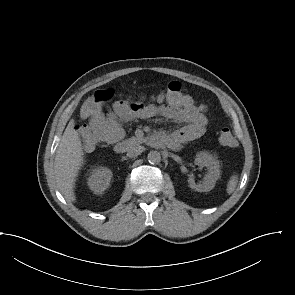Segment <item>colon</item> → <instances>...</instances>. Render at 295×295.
Masks as SVG:
<instances>
[{
    "mask_svg": "<svg viewBox=\"0 0 295 295\" xmlns=\"http://www.w3.org/2000/svg\"><path fill=\"white\" fill-rule=\"evenodd\" d=\"M165 90L168 96L180 102H189L192 100L191 97L184 92L182 85L177 81L170 82L165 87ZM112 97L113 91L110 89L95 91L84 101L81 107V117L84 120L90 119L93 114L101 111L102 106ZM80 132L85 146L88 148H91L101 142L104 137L102 129L92 128L88 125H82L80 127ZM219 142L221 145L226 147H235L237 145V141L232 131L228 128H224L220 131Z\"/></svg>",
    "mask_w": 295,
    "mask_h": 295,
    "instance_id": "obj_1",
    "label": "colon"
}]
</instances>
